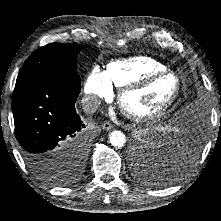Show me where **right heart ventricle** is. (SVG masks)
Masks as SVG:
<instances>
[{
	"label": "right heart ventricle",
	"mask_w": 221,
	"mask_h": 221,
	"mask_svg": "<svg viewBox=\"0 0 221 221\" xmlns=\"http://www.w3.org/2000/svg\"><path fill=\"white\" fill-rule=\"evenodd\" d=\"M167 67L148 56H136L111 61L104 72L111 85L122 88L153 72L165 71Z\"/></svg>",
	"instance_id": "1"
}]
</instances>
